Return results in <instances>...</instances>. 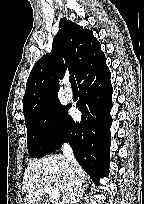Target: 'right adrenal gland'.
Instances as JSON below:
<instances>
[{
  "label": "right adrenal gland",
  "mask_w": 144,
  "mask_h": 204,
  "mask_svg": "<svg viewBox=\"0 0 144 204\" xmlns=\"http://www.w3.org/2000/svg\"><path fill=\"white\" fill-rule=\"evenodd\" d=\"M87 188H88L87 185H85V186L83 187V190H82L81 196H80V198H79V202H80V199L82 198V194L86 191Z\"/></svg>",
  "instance_id": "2a0ac1e0"
}]
</instances>
